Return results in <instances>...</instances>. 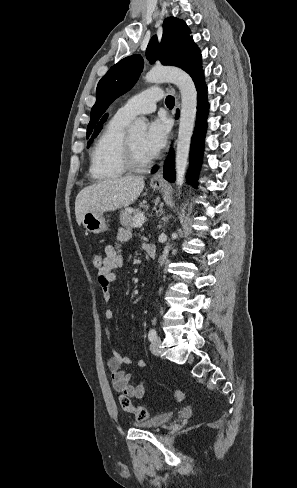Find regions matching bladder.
Returning <instances> with one entry per match:
<instances>
[{"instance_id": "obj_1", "label": "bladder", "mask_w": 297, "mask_h": 488, "mask_svg": "<svg viewBox=\"0 0 297 488\" xmlns=\"http://www.w3.org/2000/svg\"><path fill=\"white\" fill-rule=\"evenodd\" d=\"M172 418L171 412L158 414L146 421L134 423L135 427L142 429H157L168 423Z\"/></svg>"}]
</instances>
